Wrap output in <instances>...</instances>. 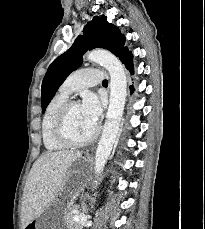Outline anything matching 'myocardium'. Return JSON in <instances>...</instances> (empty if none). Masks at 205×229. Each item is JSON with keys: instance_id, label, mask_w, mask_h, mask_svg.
<instances>
[{"instance_id": "myocardium-1", "label": "myocardium", "mask_w": 205, "mask_h": 229, "mask_svg": "<svg viewBox=\"0 0 205 229\" xmlns=\"http://www.w3.org/2000/svg\"><path fill=\"white\" fill-rule=\"evenodd\" d=\"M79 103L75 100H67L62 107L59 109L55 123H54V137L55 139L63 144L66 147H80L89 144L93 141L99 132V126L95 125L94 130L92 133L82 140H75L72 139L67 133V120L70 110Z\"/></svg>"}]
</instances>
